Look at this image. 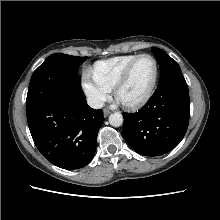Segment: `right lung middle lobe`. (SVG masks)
<instances>
[{
	"instance_id": "1",
	"label": "right lung middle lobe",
	"mask_w": 220,
	"mask_h": 220,
	"mask_svg": "<svg viewBox=\"0 0 220 220\" xmlns=\"http://www.w3.org/2000/svg\"><path fill=\"white\" fill-rule=\"evenodd\" d=\"M87 57L53 54L33 73L26 106L42 100L75 99L83 96L78 68Z\"/></svg>"
}]
</instances>
